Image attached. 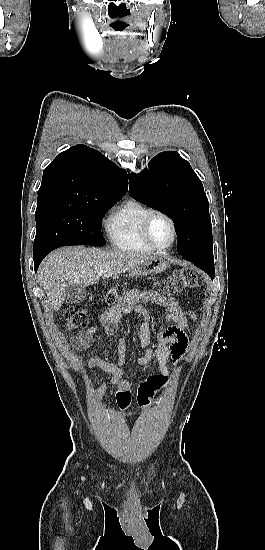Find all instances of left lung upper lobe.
Wrapping results in <instances>:
<instances>
[{
	"mask_svg": "<svg viewBox=\"0 0 265 550\" xmlns=\"http://www.w3.org/2000/svg\"><path fill=\"white\" fill-rule=\"evenodd\" d=\"M131 196L168 215L177 228L179 254L186 259L201 252L213 253L208 199L202 182L189 162L177 152H162L149 169L129 174Z\"/></svg>",
	"mask_w": 265,
	"mask_h": 550,
	"instance_id": "left-lung-upper-lobe-1",
	"label": "left lung upper lobe"
}]
</instances>
